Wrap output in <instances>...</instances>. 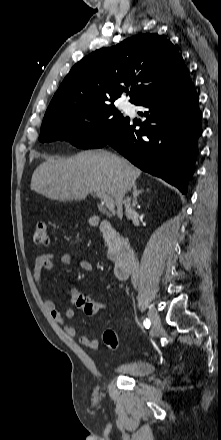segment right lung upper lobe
<instances>
[{
    "label": "right lung upper lobe",
    "instance_id": "cb5924a9",
    "mask_svg": "<svg viewBox=\"0 0 221 440\" xmlns=\"http://www.w3.org/2000/svg\"><path fill=\"white\" fill-rule=\"evenodd\" d=\"M188 70L176 47L157 34H140L89 54L67 74L47 111L84 104L97 107L114 102L125 86L130 102L139 101L184 83Z\"/></svg>",
    "mask_w": 221,
    "mask_h": 440
}]
</instances>
